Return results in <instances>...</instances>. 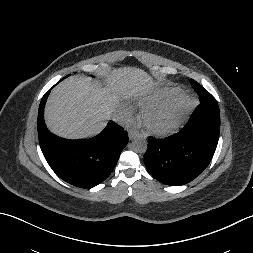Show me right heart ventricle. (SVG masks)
I'll use <instances>...</instances> for the list:
<instances>
[{"instance_id": "right-heart-ventricle-1", "label": "right heart ventricle", "mask_w": 253, "mask_h": 253, "mask_svg": "<svg viewBox=\"0 0 253 253\" xmlns=\"http://www.w3.org/2000/svg\"><path fill=\"white\" fill-rule=\"evenodd\" d=\"M178 91H179V88H176V87L163 88L153 93L152 95L146 97L143 102L146 105L161 102L172 97Z\"/></svg>"}]
</instances>
